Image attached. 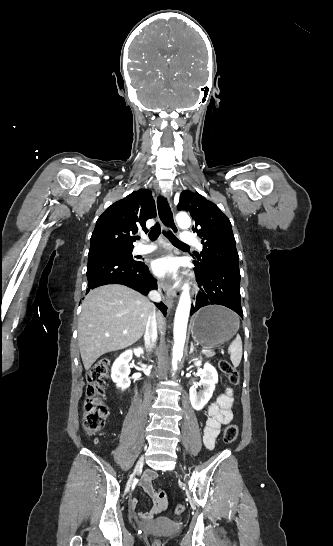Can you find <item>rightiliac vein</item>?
<instances>
[{
    "label": "right iliac vein",
    "mask_w": 333,
    "mask_h": 546,
    "mask_svg": "<svg viewBox=\"0 0 333 546\" xmlns=\"http://www.w3.org/2000/svg\"><path fill=\"white\" fill-rule=\"evenodd\" d=\"M143 461H144V457H141L140 460L138 461L137 465H136L135 471H138V470H140L142 468Z\"/></svg>",
    "instance_id": "1"
}]
</instances>
